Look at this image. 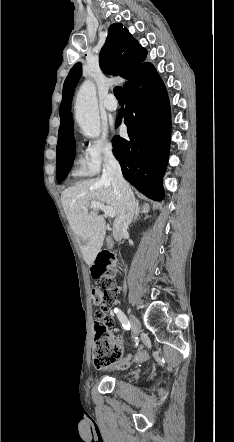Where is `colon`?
Wrapping results in <instances>:
<instances>
[{
	"mask_svg": "<svg viewBox=\"0 0 234 442\" xmlns=\"http://www.w3.org/2000/svg\"><path fill=\"white\" fill-rule=\"evenodd\" d=\"M115 256L110 252H101L92 266V275L101 281L100 287L92 289V299L95 304L100 305V310L96 314H108V309L114 303L118 292L115 283ZM115 322V319H114ZM96 331L94 328L93 363L98 369H105L117 364L119 368H124L130 360L142 362L148 358L150 350L140 348L135 353H129L128 357L121 360V346L112 337L110 330Z\"/></svg>",
	"mask_w": 234,
	"mask_h": 442,
	"instance_id": "1",
	"label": "colon"
}]
</instances>
